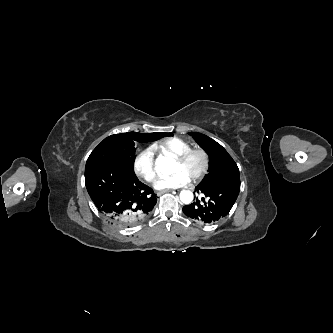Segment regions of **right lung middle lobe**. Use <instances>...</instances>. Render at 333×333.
I'll use <instances>...</instances> for the list:
<instances>
[{
  "instance_id": "1",
  "label": "right lung middle lobe",
  "mask_w": 333,
  "mask_h": 333,
  "mask_svg": "<svg viewBox=\"0 0 333 333\" xmlns=\"http://www.w3.org/2000/svg\"><path fill=\"white\" fill-rule=\"evenodd\" d=\"M172 133H157L153 139H158ZM150 139L133 135L132 132L111 135L105 138L90 154L86 165L92 163H106L124 168L134 173L135 142ZM135 174V173H134Z\"/></svg>"
}]
</instances>
